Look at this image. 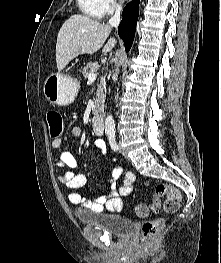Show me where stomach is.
<instances>
[{
  "instance_id": "stomach-1",
  "label": "stomach",
  "mask_w": 221,
  "mask_h": 263,
  "mask_svg": "<svg viewBox=\"0 0 221 263\" xmlns=\"http://www.w3.org/2000/svg\"><path fill=\"white\" fill-rule=\"evenodd\" d=\"M80 89L77 79L60 73H53L44 82L43 91L46 99L56 105L71 104Z\"/></svg>"
}]
</instances>
